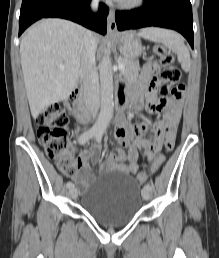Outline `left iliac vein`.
<instances>
[{
    "instance_id": "1",
    "label": "left iliac vein",
    "mask_w": 219,
    "mask_h": 258,
    "mask_svg": "<svg viewBox=\"0 0 219 258\" xmlns=\"http://www.w3.org/2000/svg\"><path fill=\"white\" fill-rule=\"evenodd\" d=\"M141 194L144 200H149L151 197V192L148 189H143Z\"/></svg>"
}]
</instances>
